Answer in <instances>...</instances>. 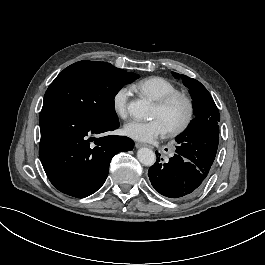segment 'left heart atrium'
<instances>
[{
  "label": "left heart atrium",
  "mask_w": 265,
  "mask_h": 265,
  "mask_svg": "<svg viewBox=\"0 0 265 265\" xmlns=\"http://www.w3.org/2000/svg\"><path fill=\"white\" fill-rule=\"evenodd\" d=\"M167 131L162 121L154 118L149 121L131 120L123 129L125 135L133 140L150 142L162 136Z\"/></svg>",
  "instance_id": "obj_1"
}]
</instances>
